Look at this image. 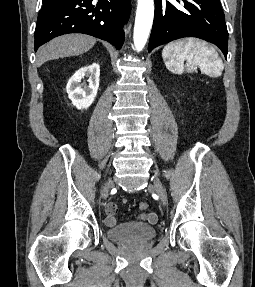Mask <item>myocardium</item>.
Returning <instances> with one entry per match:
<instances>
[{
    "instance_id": "myocardium-1",
    "label": "myocardium",
    "mask_w": 255,
    "mask_h": 287,
    "mask_svg": "<svg viewBox=\"0 0 255 287\" xmlns=\"http://www.w3.org/2000/svg\"><path fill=\"white\" fill-rule=\"evenodd\" d=\"M145 48H165V47H145Z\"/></svg>"
}]
</instances>
